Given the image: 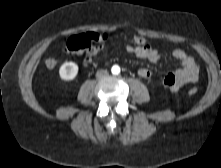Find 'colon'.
<instances>
[{
    "mask_svg": "<svg viewBox=\"0 0 221 168\" xmlns=\"http://www.w3.org/2000/svg\"><path fill=\"white\" fill-rule=\"evenodd\" d=\"M110 41V36L107 32L100 33H87L78 34L70 37L65 44V50L67 53L76 55L82 53H89L95 44L97 43H108ZM131 43L136 47H144L147 44V39L142 36H133L131 38ZM57 62L54 58H47L45 60V65L47 68L52 69L56 66ZM197 93V88L192 87L188 90V94L193 96Z\"/></svg>",
    "mask_w": 221,
    "mask_h": 168,
    "instance_id": "obj_1",
    "label": "colon"
}]
</instances>
